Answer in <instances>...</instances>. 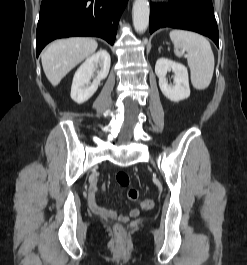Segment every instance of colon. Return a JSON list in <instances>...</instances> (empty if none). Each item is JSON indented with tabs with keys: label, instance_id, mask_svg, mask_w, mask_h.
<instances>
[{
	"label": "colon",
	"instance_id": "5ec220e1",
	"mask_svg": "<svg viewBox=\"0 0 247 265\" xmlns=\"http://www.w3.org/2000/svg\"><path fill=\"white\" fill-rule=\"evenodd\" d=\"M115 180L122 188H128L130 185V176L125 171L117 172ZM127 197L132 201H137L139 199L138 190L135 188H128ZM141 206L143 209L150 210L154 207V202L150 199H144L141 201ZM118 230L121 231V228H118Z\"/></svg>",
	"mask_w": 247,
	"mask_h": 265
}]
</instances>
